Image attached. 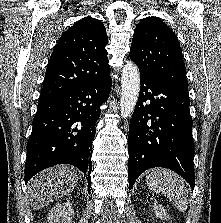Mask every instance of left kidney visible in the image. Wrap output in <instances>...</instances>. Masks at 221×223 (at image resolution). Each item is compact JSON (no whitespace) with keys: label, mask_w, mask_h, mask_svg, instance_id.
<instances>
[{"label":"left kidney","mask_w":221,"mask_h":223,"mask_svg":"<svg viewBox=\"0 0 221 223\" xmlns=\"http://www.w3.org/2000/svg\"><path fill=\"white\" fill-rule=\"evenodd\" d=\"M154 213L156 215V217L160 218V219H167L168 218V214L165 211V209L162 207V205L160 204H154Z\"/></svg>","instance_id":"obj_1"}]
</instances>
